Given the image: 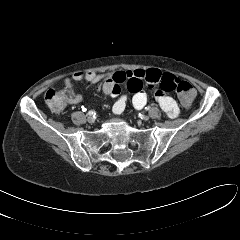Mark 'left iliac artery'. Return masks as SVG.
<instances>
[{
    "mask_svg": "<svg viewBox=\"0 0 240 240\" xmlns=\"http://www.w3.org/2000/svg\"><path fill=\"white\" fill-rule=\"evenodd\" d=\"M145 109H146V110H149V109H150V107L148 106V107H146Z\"/></svg>",
    "mask_w": 240,
    "mask_h": 240,
    "instance_id": "obj_1",
    "label": "left iliac artery"
}]
</instances>
